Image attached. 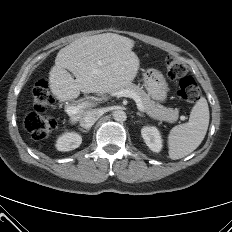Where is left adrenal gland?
<instances>
[{"mask_svg":"<svg viewBox=\"0 0 232 232\" xmlns=\"http://www.w3.org/2000/svg\"><path fill=\"white\" fill-rule=\"evenodd\" d=\"M138 116H140V117H144V115L142 114V113H140V112H137L136 113Z\"/></svg>","mask_w":232,"mask_h":232,"instance_id":"obj_1","label":"left adrenal gland"}]
</instances>
